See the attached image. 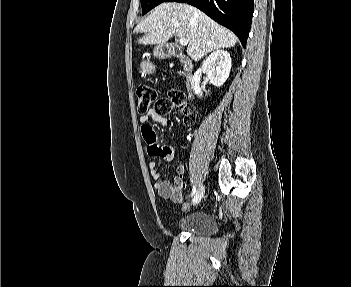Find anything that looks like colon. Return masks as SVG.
I'll return each instance as SVG.
<instances>
[{
	"mask_svg": "<svg viewBox=\"0 0 351 287\" xmlns=\"http://www.w3.org/2000/svg\"><path fill=\"white\" fill-rule=\"evenodd\" d=\"M138 111L147 112L152 106L159 115H165L175 107L183 114V122L191 125L195 121V111L188 105L185 94L180 90H170L167 98L157 100V92L154 87L140 85L135 91Z\"/></svg>",
	"mask_w": 351,
	"mask_h": 287,
	"instance_id": "obj_1",
	"label": "colon"
}]
</instances>
